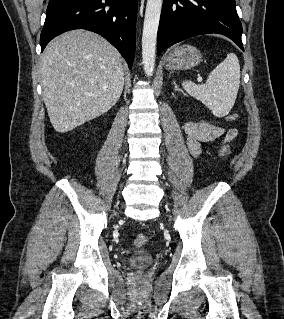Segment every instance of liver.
Masks as SVG:
<instances>
[{"mask_svg":"<svg viewBox=\"0 0 284 319\" xmlns=\"http://www.w3.org/2000/svg\"><path fill=\"white\" fill-rule=\"evenodd\" d=\"M41 75L50 122L61 133L107 112L124 86L119 52L106 39L86 30L53 39L42 57Z\"/></svg>","mask_w":284,"mask_h":319,"instance_id":"liver-1","label":"liver"}]
</instances>
